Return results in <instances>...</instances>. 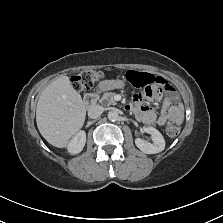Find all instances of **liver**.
<instances>
[{
  "mask_svg": "<svg viewBox=\"0 0 223 223\" xmlns=\"http://www.w3.org/2000/svg\"><path fill=\"white\" fill-rule=\"evenodd\" d=\"M86 107L69 78L62 76L41 93L36 122L41 135L55 147H66L68 140L83 126Z\"/></svg>",
  "mask_w": 223,
  "mask_h": 223,
  "instance_id": "obj_1",
  "label": "liver"
}]
</instances>
